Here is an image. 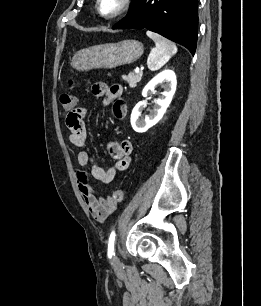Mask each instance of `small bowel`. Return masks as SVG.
Wrapping results in <instances>:
<instances>
[{"label": "small bowel", "instance_id": "1", "mask_svg": "<svg viewBox=\"0 0 261 306\" xmlns=\"http://www.w3.org/2000/svg\"><path fill=\"white\" fill-rule=\"evenodd\" d=\"M92 92L95 96L103 98L102 103L104 105H113L112 113L114 118L122 120L125 117L127 108L121 101L123 94L121 85L96 84L93 86ZM86 114V108L75 109L73 112L68 113L66 125L70 131V143L78 148L76 158L79 167L75 170V176L80 193L92 217L97 221L103 222L114 211L117 202L111 195L98 197L92 189L84 169L90 166L92 177L100 183L108 184L114 180L119 172L126 170L130 166L133 147L132 143L127 139L110 143L109 150L115 159V163L107 169L98 166L87 147Z\"/></svg>", "mask_w": 261, "mask_h": 306}]
</instances>
